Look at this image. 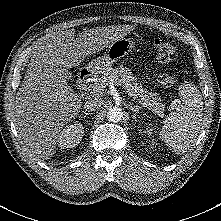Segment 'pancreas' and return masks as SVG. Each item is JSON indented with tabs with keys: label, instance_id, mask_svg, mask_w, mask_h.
Returning a JSON list of instances; mask_svg holds the SVG:
<instances>
[{
	"label": "pancreas",
	"instance_id": "cf45deb5",
	"mask_svg": "<svg viewBox=\"0 0 221 221\" xmlns=\"http://www.w3.org/2000/svg\"><path fill=\"white\" fill-rule=\"evenodd\" d=\"M120 77L119 83L126 90L129 96L138 99V102L144 107H148L153 112L157 113L160 117L164 116L165 106L162 104L161 99L143 89L141 84H138L137 78L132 74L131 70L122 65L117 67H109L103 72L99 82L95 85L106 86L112 78Z\"/></svg>",
	"mask_w": 221,
	"mask_h": 221
}]
</instances>
